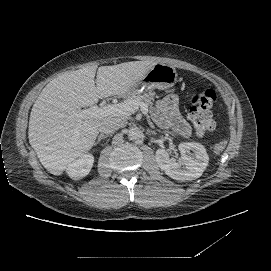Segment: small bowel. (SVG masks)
Here are the masks:
<instances>
[{
  "label": "small bowel",
  "mask_w": 271,
  "mask_h": 271,
  "mask_svg": "<svg viewBox=\"0 0 271 271\" xmlns=\"http://www.w3.org/2000/svg\"><path fill=\"white\" fill-rule=\"evenodd\" d=\"M159 108L165 115L167 122L175 131L183 136L190 134L189 126L178 112V101L175 96H167L160 100Z\"/></svg>",
  "instance_id": "small-bowel-1"
}]
</instances>
